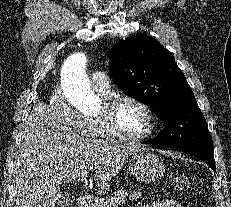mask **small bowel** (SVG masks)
Listing matches in <instances>:
<instances>
[{"label": "small bowel", "mask_w": 231, "mask_h": 207, "mask_svg": "<svg viewBox=\"0 0 231 207\" xmlns=\"http://www.w3.org/2000/svg\"><path fill=\"white\" fill-rule=\"evenodd\" d=\"M142 207H182L181 204L173 199H157L153 200Z\"/></svg>", "instance_id": "small-bowel-1"}]
</instances>
